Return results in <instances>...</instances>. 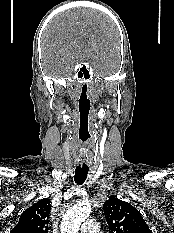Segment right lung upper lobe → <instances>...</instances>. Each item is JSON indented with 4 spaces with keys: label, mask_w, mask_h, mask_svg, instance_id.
<instances>
[{
    "label": "right lung upper lobe",
    "mask_w": 174,
    "mask_h": 233,
    "mask_svg": "<svg viewBox=\"0 0 174 233\" xmlns=\"http://www.w3.org/2000/svg\"><path fill=\"white\" fill-rule=\"evenodd\" d=\"M50 199L44 198L26 209L10 233H48Z\"/></svg>",
    "instance_id": "obj_1"
}]
</instances>
